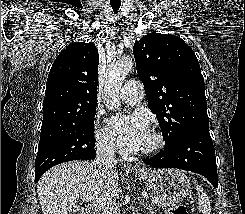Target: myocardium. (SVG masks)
<instances>
[{
    "label": "myocardium",
    "mask_w": 245,
    "mask_h": 214,
    "mask_svg": "<svg viewBox=\"0 0 245 214\" xmlns=\"http://www.w3.org/2000/svg\"><path fill=\"white\" fill-rule=\"evenodd\" d=\"M150 135L153 139L152 144L144 149L138 152V155L140 156H152L157 154L165 145V138L163 134L157 130L150 131Z\"/></svg>",
    "instance_id": "f54148a6"
}]
</instances>
